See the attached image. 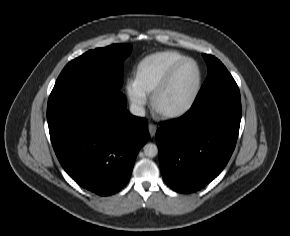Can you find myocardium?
Returning <instances> with one entry per match:
<instances>
[{
    "label": "myocardium",
    "mask_w": 290,
    "mask_h": 236,
    "mask_svg": "<svg viewBox=\"0 0 290 236\" xmlns=\"http://www.w3.org/2000/svg\"><path fill=\"white\" fill-rule=\"evenodd\" d=\"M193 63L196 67L197 70V81H196V86L195 89L190 97V99L180 108L174 109V110H165L162 109L158 106V99L160 95L166 90V88L169 86L174 74L176 71L185 63ZM202 81H203V76H202V70L199 65V63L189 57H184L183 59L179 60L177 63H175L172 68L169 70L167 73L166 77L164 80L156 87V89L153 91L150 103H151V108L152 111L156 116L162 119H173V118H178L186 114L196 103L198 96L201 92L202 88Z\"/></svg>",
    "instance_id": "obj_1"
}]
</instances>
